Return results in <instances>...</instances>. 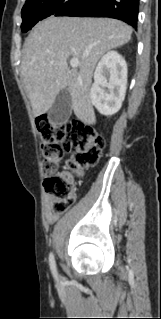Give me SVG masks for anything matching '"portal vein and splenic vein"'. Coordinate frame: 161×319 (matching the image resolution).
<instances>
[{
  "label": "portal vein and splenic vein",
  "instance_id": "18ae733b",
  "mask_svg": "<svg viewBox=\"0 0 161 319\" xmlns=\"http://www.w3.org/2000/svg\"><path fill=\"white\" fill-rule=\"evenodd\" d=\"M70 65H71L72 68L77 67V66L79 65V59H77V58H72V59L70 60Z\"/></svg>",
  "mask_w": 161,
  "mask_h": 319
}]
</instances>
